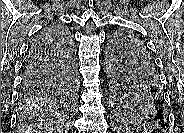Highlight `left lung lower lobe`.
<instances>
[{"mask_svg": "<svg viewBox=\"0 0 184 133\" xmlns=\"http://www.w3.org/2000/svg\"><path fill=\"white\" fill-rule=\"evenodd\" d=\"M160 79L159 76L157 77V84L156 86L151 85V91L156 97V102L155 106H160V104H163L165 99H164V94H163V88L161 87L162 85L160 84ZM161 90V91H160ZM129 123L132 122L134 123L129 117L122 115ZM157 123L155 125H158L159 127L166 128L168 127V121L169 118L166 115H163L162 113H159L156 116ZM135 124V123H134Z\"/></svg>", "mask_w": 184, "mask_h": 133, "instance_id": "0a47b994", "label": "left lung lower lobe"}]
</instances>
